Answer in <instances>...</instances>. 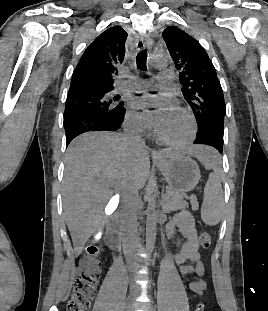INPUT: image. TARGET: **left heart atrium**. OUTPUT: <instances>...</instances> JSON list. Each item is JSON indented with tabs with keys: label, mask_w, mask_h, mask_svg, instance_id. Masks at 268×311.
<instances>
[{
	"label": "left heart atrium",
	"mask_w": 268,
	"mask_h": 311,
	"mask_svg": "<svg viewBox=\"0 0 268 311\" xmlns=\"http://www.w3.org/2000/svg\"><path fill=\"white\" fill-rule=\"evenodd\" d=\"M148 97L157 98V101L153 103L149 102L147 100ZM130 104L135 109H142L151 105L159 106L158 109L152 111L151 113L152 118L158 125L178 110L175 99L168 93L145 94L142 97H133L130 100Z\"/></svg>",
	"instance_id": "1"
}]
</instances>
